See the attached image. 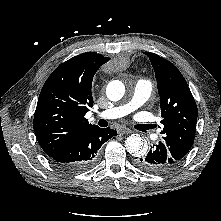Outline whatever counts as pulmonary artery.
I'll return each mask as SVG.
<instances>
[{
    "mask_svg": "<svg viewBox=\"0 0 221 221\" xmlns=\"http://www.w3.org/2000/svg\"><path fill=\"white\" fill-rule=\"evenodd\" d=\"M151 92L152 83L149 80L140 79L136 82L132 97L127 103L104 110L98 114V117L115 119L128 115L142 106L149 99Z\"/></svg>",
    "mask_w": 221,
    "mask_h": 221,
    "instance_id": "1",
    "label": "pulmonary artery"
}]
</instances>
